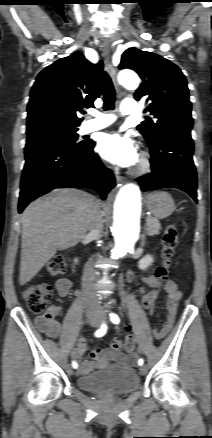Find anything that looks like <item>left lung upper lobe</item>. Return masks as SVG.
<instances>
[{
	"mask_svg": "<svg viewBox=\"0 0 212 438\" xmlns=\"http://www.w3.org/2000/svg\"><path fill=\"white\" fill-rule=\"evenodd\" d=\"M119 68L133 69L142 79L134 96L136 100L146 99V109L153 119L147 117L137 129L148 143L161 135L191 132L187 81L175 64L155 53L129 48L123 53Z\"/></svg>",
	"mask_w": 212,
	"mask_h": 438,
	"instance_id": "left-lung-upper-lobe-1",
	"label": "left lung upper lobe"
}]
</instances>
